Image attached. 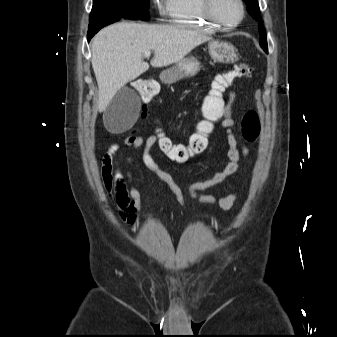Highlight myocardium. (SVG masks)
I'll list each match as a JSON object with an SVG mask.
<instances>
[{
	"instance_id": "obj_1",
	"label": "myocardium",
	"mask_w": 337,
	"mask_h": 337,
	"mask_svg": "<svg viewBox=\"0 0 337 337\" xmlns=\"http://www.w3.org/2000/svg\"><path fill=\"white\" fill-rule=\"evenodd\" d=\"M240 11L241 15L240 18L233 22V23H226L222 21L215 13V4L217 0H201V7L202 11L204 14V17L216 28L218 29H233L238 27L244 20L245 15H246V7L245 3L243 0H236Z\"/></svg>"
}]
</instances>
